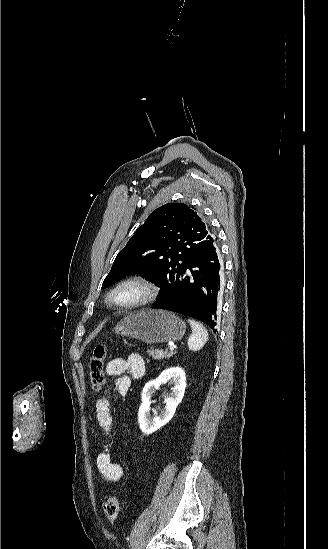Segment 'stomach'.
<instances>
[{
    "label": "stomach",
    "instance_id": "stomach-1",
    "mask_svg": "<svg viewBox=\"0 0 328 549\" xmlns=\"http://www.w3.org/2000/svg\"><path fill=\"white\" fill-rule=\"evenodd\" d=\"M186 331L184 321L171 311L142 309L121 319L114 327L116 335L139 339L144 343H168L181 341Z\"/></svg>",
    "mask_w": 328,
    "mask_h": 549
}]
</instances>
